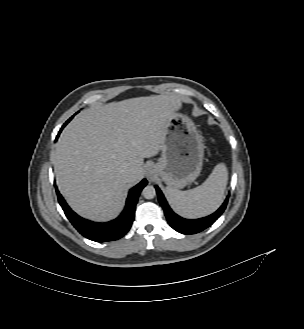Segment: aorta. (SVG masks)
<instances>
[{
  "label": "aorta",
  "mask_w": 304,
  "mask_h": 329,
  "mask_svg": "<svg viewBox=\"0 0 304 329\" xmlns=\"http://www.w3.org/2000/svg\"><path fill=\"white\" fill-rule=\"evenodd\" d=\"M142 195L146 199H153L156 195V190L153 186L148 185L144 187L142 191Z\"/></svg>",
  "instance_id": "762f6f07"
}]
</instances>
